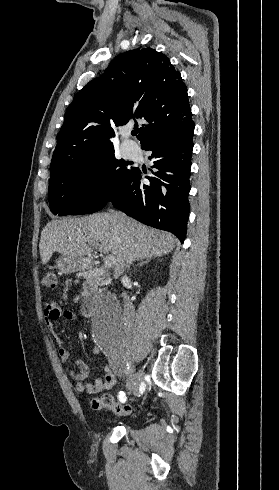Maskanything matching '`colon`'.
Segmentation results:
<instances>
[{"label": "colon", "instance_id": "obj_1", "mask_svg": "<svg viewBox=\"0 0 279 490\" xmlns=\"http://www.w3.org/2000/svg\"><path fill=\"white\" fill-rule=\"evenodd\" d=\"M41 285L45 289H56L58 278L55 272L46 271L41 279ZM92 410L108 409L117 416H124L131 412V407L117 403L109 392L93 395L90 399Z\"/></svg>", "mask_w": 279, "mask_h": 490}]
</instances>
